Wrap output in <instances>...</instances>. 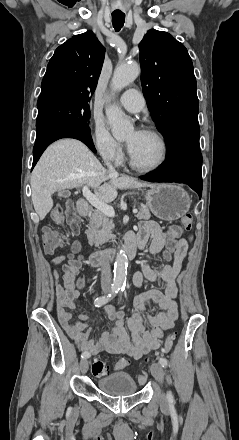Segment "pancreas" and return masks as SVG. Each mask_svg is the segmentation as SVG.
Masks as SVG:
<instances>
[{"instance_id": "pancreas-1", "label": "pancreas", "mask_w": 239, "mask_h": 440, "mask_svg": "<svg viewBox=\"0 0 239 440\" xmlns=\"http://www.w3.org/2000/svg\"><path fill=\"white\" fill-rule=\"evenodd\" d=\"M136 218H138V220H150L151 214L147 206L140 204ZM87 228L88 230H86L85 234H87L88 244L98 248V246H102V244H106V242L112 240V230H114L115 224H112V220H109L105 214H102L99 210H94Z\"/></svg>"}]
</instances>
